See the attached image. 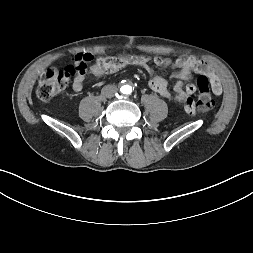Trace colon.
<instances>
[{
    "instance_id": "1",
    "label": "colon",
    "mask_w": 253,
    "mask_h": 253,
    "mask_svg": "<svg viewBox=\"0 0 253 253\" xmlns=\"http://www.w3.org/2000/svg\"><path fill=\"white\" fill-rule=\"evenodd\" d=\"M91 59L82 58L74 63L68 64L63 68H51L45 71L39 78L36 95L40 100H50L62 92L69 80L77 75L85 74L87 62ZM199 97L197 107L199 111H208L212 106V98L209 88L208 78L201 74L197 79Z\"/></svg>"
}]
</instances>
